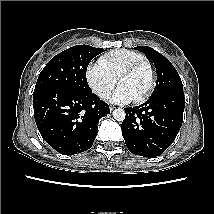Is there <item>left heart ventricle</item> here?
Wrapping results in <instances>:
<instances>
[{
	"instance_id": "1",
	"label": "left heart ventricle",
	"mask_w": 214,
	"mask_h": 214,
	"mask_svg": "<svg viewBox=\"0 0 214 214\" xmlns=\"http://www.w3.org/2000/svg\"><path fill=\"white\" fill-rule=\"evenodd\" d=\"M148 81L149 72L146 68H142L132 75L122 77L119 81V86L124 87L134 98H137L145 90Z\"/></svg>"
}]
</instances>
